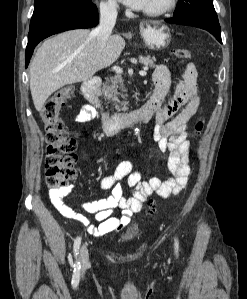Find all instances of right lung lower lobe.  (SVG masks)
<instances>
[{"instance_id": "right-lung-lower-lobe-1", "label": "right lung lower lobe", "mask_w": 247, "mask_h": 299, "mask_svg": "<svg viewBox=\"0 0 247 299\" xmlns=\"http://www.w3.org/2000/svg\"><path fill=\"white\" fill-rule=\"evenodd\" d=\"M98 24V11L95 4L73 8L56 14L30 28L26 47L27 67L35 46L53 34L77 28H91Z\"/></svg>"}]
</instances>
